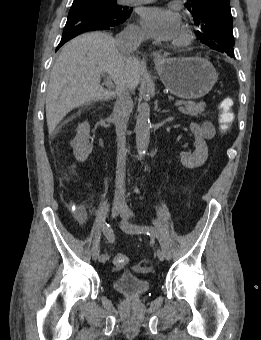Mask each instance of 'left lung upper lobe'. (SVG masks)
Masks as SVG:
<instances>
[{"label": "left lung upper lobe", "instance_id": "obj_1", "mask_svg": "<svg viewBox=\"0 0 261 340\" xmlns=\"http://www.w3.org/2000/svg\"><path fill=\"white\" fill-rule=\"evenodd\" d=\"M187 5L199 30V40L219 52L234 53V37L229 0H189Z\"/></svg>", "mask_w": 261, "mask_h": 340}]
</instances>
